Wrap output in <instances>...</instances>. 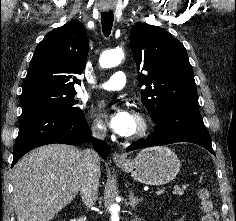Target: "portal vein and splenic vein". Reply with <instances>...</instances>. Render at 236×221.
I'll return each mask as SVG.
<instances>
[{
  "label": "portal vein and splenic vein",
  "instance_id": "portal-vein-and-splenic-vein-1",
  "mask_svg": "<svg viewBox=\"0 0 236 221\" xmlns=\"http://www.w3.org/2000/svg\"><path fill=\"white\" fill-rule=\"evenodd\" d=\"M165 192V188H161V189H159L158 191H156V195L157 196H159V195H161V194H163Z\"/></svg>",
  "mask_w": 236,
  "mask_h": 221
}]
</instances>
